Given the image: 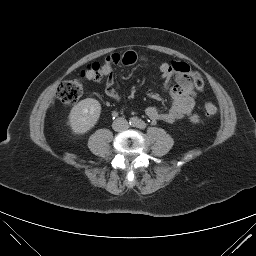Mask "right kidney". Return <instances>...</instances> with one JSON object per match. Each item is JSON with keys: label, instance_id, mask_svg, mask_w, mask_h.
<instances>
[{"label": "right kidney", "instance_id": "ca27d5eb", "mask_svg": "<svg viewBox=\"0 0 256 256\" xmlns=\"http://www.w3.org/2000/svg\"><path fill=\"white\" fill-rule=\"evenodd\" d=\"M101 113L100 103L87 98L78 102L69 114V125L75 134H85L97 123Z\"/></svg>", "mask_w": 256, "mask_h": 256}]
</instances>
